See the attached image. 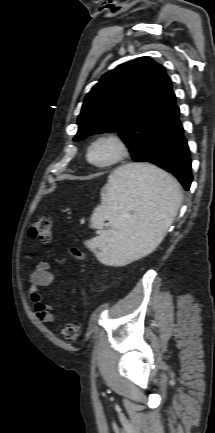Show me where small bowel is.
I'll return each mask as SVG.
<instances>
[{
    "label": "small bowel",
    "instance_id": "1",
    "mask_svg": "<svg viewBox=\"0 0 215 433\" xmlns=\"http://www.w3.org/2000/svg\"><path fill=\"white\" fill-rule=\"evenodd\" d=\"M55 281L54 274L51 271V265L44 260L36 263L34 270L30 274V288L28 296L35 307L38 320L43 323H53L55 317L52 313L51 306L44 301L41 289L52 285Z\"/></svg>",
    "mask_w": 215,
    "mask_h": 433
}]
</instances>
